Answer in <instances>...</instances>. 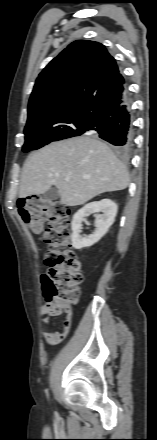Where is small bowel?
Here are the masks:
<instances>
[{
  "instance_id": "c3829d8e",
  "label": "small bowel",
  "mask_w": 157,
  "mask_h": 440,
  "mask_svg": "<svg viewBox=\"0 0 157 440\" xmlns=\"http://www.w3.org/2000/svg\"><path fill=\"white\" fill-rule=\"evenodd\" d=\"M41 312L45 316V318H44L45 324L48 327H50V318L54 317V315L51 311L50 305L48 303L42 305ZM70 326H71V319L68 321L64 320L63 327H62L61 331H56V330L50 328L49 331L44 333V337L46 338V340L49 343L58 344L67 336V334L70 330Z\"/></svg>"
}]
</instances>
